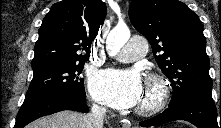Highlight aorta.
Returning <instances> with one entry per match:
<instances>
[{"label":"aorta","instance_id":"762f6f07","mask_svg":"<svg viewBox=\"0 0 221 128\" xmlns=\"http://www.w3.org/2000/svg\"><path fill=\"white\" fill-rule=\"evenodd\" d=\"M130 30L126 25L115 26L107 36L106 50L110 56H115L129 40Z\"/></svg>","mask_w":221,"mask_h":128}]
</instances>
